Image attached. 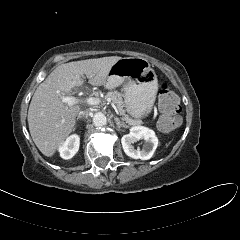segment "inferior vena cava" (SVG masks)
Returning a JSON list of instances; mask_svg holds the SVG:
<instances>
[{
	"label": "inferior vena cava",
	"instance_id": "602c4592",
	"mask_svg": "<svg viewBox=\"0 0 240 240\" xmlns=\"http://www.w3.org/2000/svg\"><path fill=\"white\" fill-rule=\"evenodd\" d=\"M90 113H91V111L89 109L79 111L78 118L87 117Z\"/></svg>",
	"mask_w": 240,
	"mask_h": 240
}]
</instances>
